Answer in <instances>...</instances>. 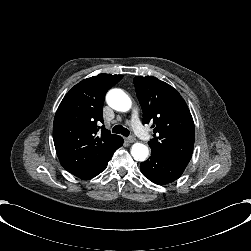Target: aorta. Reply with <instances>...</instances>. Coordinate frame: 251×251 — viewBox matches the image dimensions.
<instances>
[{
	"label": "aorta",
	"instance_id": "aorta-1",
	"mask_svg": "<svg viewBox=\"0 0 251 251\" xmlns=\"http://www.w3.org/2000/svg\"><path fill=\"white\" fill-rule=\"evenodd\" d=\"M108 105L116 111L127 112L130 110L132 102L130 97L121 89L115 88L108 91L106 95ZM149 149L142 143H135L131 148V155L136 161H145L148 157Z\"/></svg>",
	"mask_w": 251,
	"mask_h": 251
}]
</instances>
